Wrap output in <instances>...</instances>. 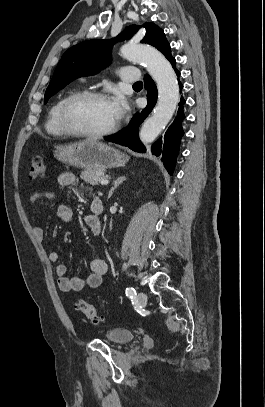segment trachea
I'll use <instances>...</instances> for the list:
<instances>
[{
    "instance_id": "3493384b",
    "label": "trachea",
    "mask_w": 265,
    "mask_h": 407,
    "mask_svg": "<svg viewBox=\"0 0 265 407\" xmlns=\"http://www.w3.org/2000/svg\"><path fill=\"white\" fill-rule=\"evenodd\" d=\"M143 83L141 82V81H139V82H136L135 84H134V86H138V85H142Z\"/></svg>"
}]
</instances>
